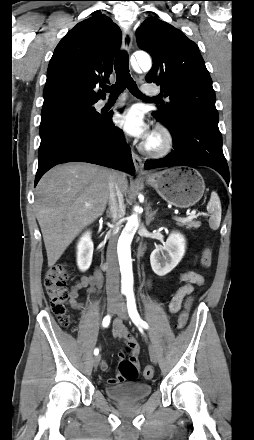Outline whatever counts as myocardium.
I'll list each match as a JSON object with an SVG mask.
<instances>
[{"label": "myocardium", "instance_id": "myocardium-1", "mask_svg": "<svg viewBox=\"0 0 254 440\" xmlns=\"http://www.w3.org/2000/svg\"><path fill=\"white\" fill-rule=\"evenodd\" d=\"M151 136L157 138L156 143L148 139L142 146L145 154L151 157H163L170 153L174 146V138L171 131L165 125H157Z\"/></svg>", "mask_w": 254, "mask_h": 440}]
</instances>
